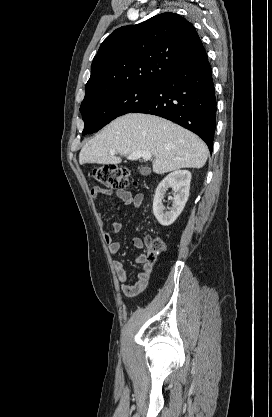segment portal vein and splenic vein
I'll use <instances>...</instances> for the list:
<instances>
[{
  "mask_svg": "<svg viewBox=\"0 0 272 417\" xmlns=\"http://www.w3.org/2000/svg\"><path fill=\"white\" fill-rule=\"evenodd\" d=\"M110 154L114 155L115 150H110ZM139 158H143L144 160H150L152 158V155L148 151H136L128 156V159L130 160H136Z\"/></svg>",
  "mask_w": 272,
  "mask_h": 417,
  "instance_id": "1",
  "label": "portal vein and splenic vein"
}]
</instances>
